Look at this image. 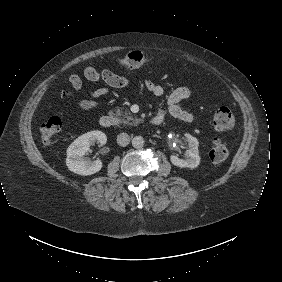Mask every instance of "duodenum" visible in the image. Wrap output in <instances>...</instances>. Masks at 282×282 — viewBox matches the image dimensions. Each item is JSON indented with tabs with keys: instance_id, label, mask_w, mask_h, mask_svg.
<instances>
[{
	"instance_id": "obj_1",
	"label": "duodenum",
	"mask_w": 282,
	"mask_h": 282,
	"mask_svg": "<svg viewBox=\"0 0 282 282\" xmlns=\"http://www.w3.org/2000/svg\"><path fill=\"white\" fill-rule=\"evenodd\" d=\"M114 123H115V120L110 115H103L99 119L100 126H102L104 128H110L114 125ZM152 123L155 124V125H159V124L162 123V118L161 117H154L152 119Z\"/></svg>"
}]
</instances>
